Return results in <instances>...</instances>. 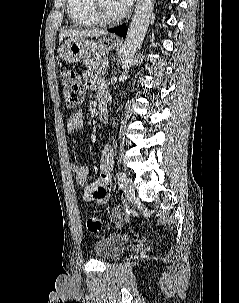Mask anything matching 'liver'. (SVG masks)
I'll list each match as a JSON object with an SVG mask.
<instances>
[{
	"label": "liver",
	"mask_w": 239,
	"mask_h": 303,
	"mask_svg": "<svg viewBox=\"0 0 239 303\" xmlns=\"http://www.w3.org/2000/svg\"><path fill=\"white\" fill-rule=\"evenodd\" d=\"M107 32L99 29H86V30H63L60 33V38L68 37V40H77L86 37H99L106 35Z\"/></svg>",
	"instance_id": "6515ba94"
}]
</instances>
